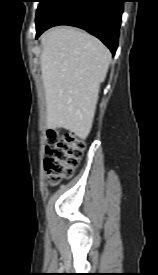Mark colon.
<instances>
[{
    "label": "colon",
    "instance_id": "colon-1",
    "mask_svg": "<svg viewBox=\"0 0 158 275\" xmlns=\"http://www.w3.org/2000/svg\"><path fill=\"white\" fill-rule=\"evenodd\" d=\"M84 150L83 140L74 132L60 135L55 129L47 132L45 170L50 184H58L73 174Z\"/></svg>",
    "mask_w": 158,
    "mask_h": 275
}]
</instances>
